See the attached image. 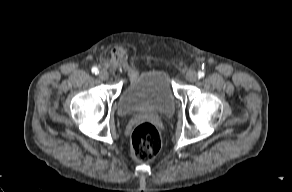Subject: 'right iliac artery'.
Wrapping results in <instances>:
<instances>
[{"mask_svg":"<svg viewBox=\"0 0 292 192\" xmlns=\"http://www.w3.org/2000/svg\"><path fill=\"white\" fill-rule=\"evenodd\" d=\"M92 73L97 74L98 73V68L97 67H93L91 69Z\"/></svg>","mask_w":292,"mask_h":192,"instance_id":"obj_1","label":"right iliac artery"}]
</instances>
